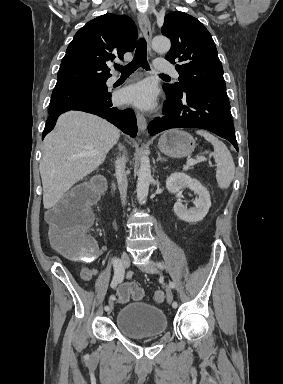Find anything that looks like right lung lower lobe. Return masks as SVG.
I'll return each instance as SVG.
<instances>
[{
    "instance_id": "1",
    "label": "right lung lower lobe",
    "mask_w": 283,
    "mask_h": 384,
    "mask_svg": "<svg viewBox=\"0 0 283 384\" xmlns=\"http://www.w3.org/2000/svg\"><path fill=\"white\" fill-rule=\"evenodd\" d=\"M68 110H80L98 115L132 137H135L137 134V122L133 110L113 107L110 94L105 98L88 99L73 105L49 109V117L42 134V139L54 128L58 116Z\"/></svg>"
}]
</instances>
